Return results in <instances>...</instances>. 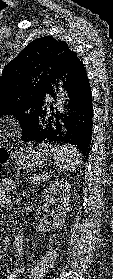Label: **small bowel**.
Masks as SVG:
<instances>
[{
	"label": "small bowel",
	"mask_w": 113,
	"mask_h": 279,
	"mask_svg": "<svg viewBox=\"0 0 113 279\" xmlns=\"http://www.w3.org/2000/svg\"><path fill=\"white\" fill-rule=\"evenodd\" d=\"M14 185L10 181H6L0 187V206L4 204H9L11 200L7 196L6 192L13 190ZM24 245H25V238L22 234L17 233L13 237V248L19 258L24 257ZM24 267H15L10 272H8L5 276V279H17L20 274L24 272Z\"/></svg>",
	"instance_id": "1"
}]
</instances>
